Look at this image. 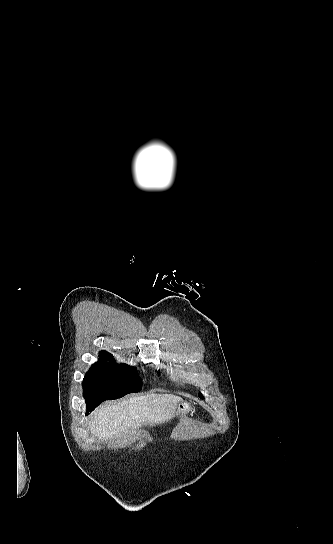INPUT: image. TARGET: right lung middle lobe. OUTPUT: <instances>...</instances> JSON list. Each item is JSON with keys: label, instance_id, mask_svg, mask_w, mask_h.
Masks as SVG:
<instances>
[{"label": "right lung middle lobe", "instance_id": "obj_1", "mask_svg": "<svg viewBox=\"0 0 333 544\" xmlns=\"http://www.w3.org/2000/svg\"><path fill=\"white\" fill-rule=\"evenodd\" d=\"M141 380L135 367L117 364L113 355H99L83 379V396L87 411L95 409L105 400L118 399L126 394L139 392Z\"/></svg>", "mask_w": 333, "mask_h": 544}]
</instances>
